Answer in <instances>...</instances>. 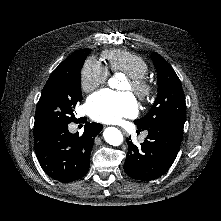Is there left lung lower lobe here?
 <instances>
[{"mask_svg": "<svg viewBox=\"0 0 221 221\" xmlns=\"http://www.w3.org/2000/svg\"><path fill=\"white\" fill-rule=\"evenodd\" d=\"M185 121L170 120L148 128L144 143L137 147L127 138L124 171L131 178L149 181L162 176L173 164L181 144Z\"/></svg>", "mask_w": 221, "mask_h": 221, "instance_id": "1", "label": "left lung lower lobe"}]
</instances>
